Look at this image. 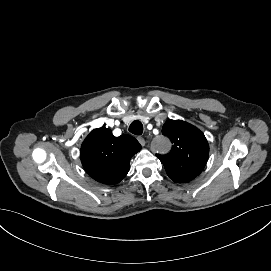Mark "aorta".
Masks as SVG:
<instances>
[{"mask_svg":"<svg viewBox=\"0 0 271 271\" xmlns=\"http://www.w3.org/2000/svg\"><path fill=\"white\" fill-rule=\"evenodd\" d=\"M157 148L163 151L167 150L169 148V142L165 138L160 137L157 140Z\"/></svg>","mask_w":271,"mask_h":271,"instance_id":"1","label":"aorta"}]
</instances>
